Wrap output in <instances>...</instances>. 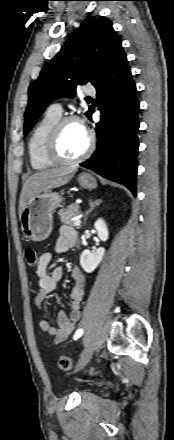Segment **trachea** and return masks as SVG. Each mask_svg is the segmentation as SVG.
I'll return each mask as SVG.
<instances>
[{"label":"trachea","mask_w":174,"mask_h":440,"mask_svg":"<svg viewBox=\"0 0 174 440\" xmlns=\"http://www.w3.org/2000/svg\"><path fill=\"white\" fill-rule=\"evenodd\" d=\"M86 100H92V98L91 97H87Z\"/></svg>","instance_id":"trachea-1"}]
</instances>
